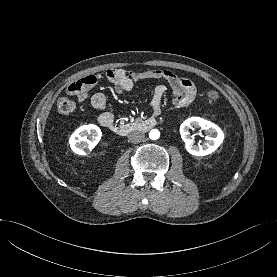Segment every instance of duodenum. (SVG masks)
<instances>
[{"mask_svg": "<svg viewBox=\"0 0 277 277\" xmlns=\"http://www.w3.org/2000/svg\"><path fill=\"white\" fill-rule=\"evenodd\" d=\"M156 125L155 118H147L140 121H135L126 124L115 123L113 121H107L104 123V127L108 128L112 132L120 136H127L133 132L141 131L146 132L152 129Z\"/></svg>", "mask_w": 277, "mask_h": 277, "instance_id": "1", "label": "duodenum"}]
</instances>
